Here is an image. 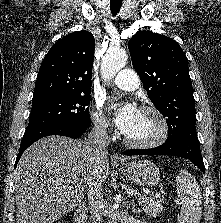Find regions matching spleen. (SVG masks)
Instances as JSON below:
<instances>
[{"label": "spleen", "mask_w": 221, "mask_h": 223, "mask_svg": "<svg viewBox=\"0 0 221 223\" xmlns=\"http://www.w3.org/2000/svg\"><path fill=\"white\" fill-rule=\"evenodd\" d=\"M176 190L181 201L179 223H200L202 216V195L198 182L187 170L179 171Z\"/></svg>", "instance_id": "3e777b00"}]
</instances>
